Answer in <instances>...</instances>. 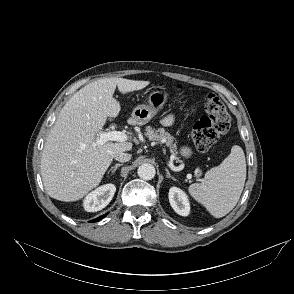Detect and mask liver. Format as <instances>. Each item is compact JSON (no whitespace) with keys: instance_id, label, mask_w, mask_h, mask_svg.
<instances>
[{"instance_id":"obj_1","label":"liver","mask_w":294,"mask_h":294,"mask_svg":"<svg viewBox=\"0 0 294 294\" xmlns=\"http://www.w3.org/2000/svg\"><path fill=\"white\" fill-rule=\"evenodd\" d=\"M149 81L103 78L76 92L61 109L46 139L41 175L47 194L71 202L96 188L118 152L130 151L132 143L106 142L96 145L98 132L107 117H117L120 103L113 98L116 87L122 94L141 90Z\"/></svg>"}]
</instances>
